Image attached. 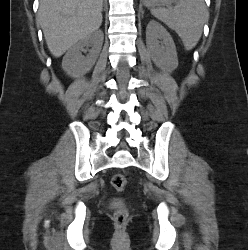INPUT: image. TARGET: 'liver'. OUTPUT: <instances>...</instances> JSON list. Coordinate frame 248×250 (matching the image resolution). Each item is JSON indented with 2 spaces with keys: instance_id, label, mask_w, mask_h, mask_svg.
Listing matches in <instances>:
<instances>
[{
  "instance_id": "obj_1",
  "label": "liver",
  "mask_w": 248,
  "mask_h": 250,
  "mask_svg": "<svg viewBox=\"0 0 248 250\" xmlns=\"http://www.w3.org/2000/svg\"><path fill=\"white\" fill-rule=\"evenodd\" d=\"M102 4L103 0H40L37 21L54 57L101 26Z\"/></svg>"
}]
</instances>
